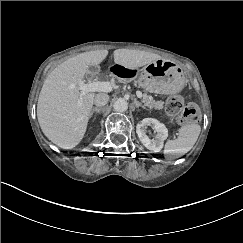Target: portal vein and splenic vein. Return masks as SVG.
Segmentation results:
<instances>
[{
    "mask_svg": "<svg viewBox=\"0 0 243 243\" xmlns=\"http://www.w3.org/2000/svg\"><path fill=\"white\" fill-rule=\"evenodd\" d=\"M78 90H80L82 93H88V92H110L112 90V86L109 82H103V81H94L91 83L85 84L83 81L78 82ZM137 97L139 99L143 98L142 93L137 90L136 91ZM81 101H78L77 108H80Z\"/></svg>",
    "mask_w": 243,
    "mask_h": 243,
    "instance_id": "obj_1",
    "label": "portal vein and splenic vein"
}]
</instances>
